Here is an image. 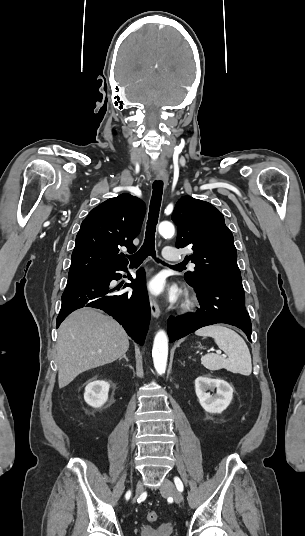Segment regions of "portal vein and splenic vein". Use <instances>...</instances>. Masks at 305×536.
I'll use <instances>...</instances> for the list:
<instances>
[{"mask_svg": "<svg viewBox=\"0 0 305 536\" xmlns=\"http://www.w3.org/2000/svg\"><path fill=\"white\" fill-rule=\"evenodd\" d=\"M217 354H221L220 350H217ZM223 358H226V356H223Z\"/></svg>", "mask_w": 305, "mask_h": 536, "instance_id": "obj_1", "label": "portal vein and splenic vein"}]
</instances>
